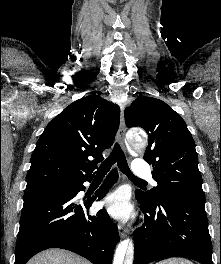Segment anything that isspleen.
Wrapping results in <instances>:
<instances>
[{"mask_svg": "<svg viewBox=\"0 0 221 264\" xmlns=\"http://www.w3.org/2000/svg\"><path fill=\"white\" fill-rule=\"evenodd\" d=\"M156 264H193V263L188 259L173 257V258L160 261Z\"/></svg>", "mask_w": 221, "mask_h": 264, "instance_id": "spleen-1", "label": "spleen"}]
</instances>
